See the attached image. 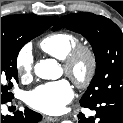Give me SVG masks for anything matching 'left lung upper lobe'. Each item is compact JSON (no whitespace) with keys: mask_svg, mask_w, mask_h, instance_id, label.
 Returning <instances> with one entry per match:
<instances>
[{"mask_svg":"<svg viewBox=\"0 0 123 123\" xmlns=\"http://www.w3.org/2000/svg\"><path fill=\"white\" fill-rule=\"evenodd\" d=\"M82 34L92 45L96 72L80 102L123 95V33L110 19L92 13L69 14L53 26Z\"/></svg>","mask_w":123,"mask_h":123,"instance_id":"1","label":"left lung upper lobe"}]
</instances>
